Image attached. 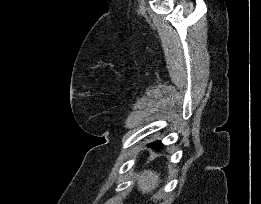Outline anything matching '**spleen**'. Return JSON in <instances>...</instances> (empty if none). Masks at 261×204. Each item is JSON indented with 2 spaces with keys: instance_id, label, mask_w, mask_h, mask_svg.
<instances>
[{
  "instance_id": "3e777b00",
  "label": "spleen",
  "mask_w": 261,
  "mask_h": 204,
  "mask_svg": "<svg viewBox=\"0 0 261 204\" xmlns=\"http://www.w3.org/2000/svg\"><path fill=\"white\" fill-rule=\"evenodd\" d=\"M159 182H160L159 174L152 170H144L137 177L138 189L143 194L151 192L153 189H155L156 186H158Z\"/></svg>"
}]
</instances>
